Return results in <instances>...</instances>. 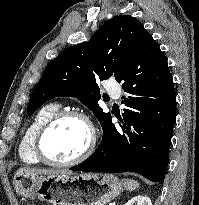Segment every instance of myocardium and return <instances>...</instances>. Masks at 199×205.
Listing matches in <instances>:
<instances>
[{"instance_id":"obj_1","label":"myocardium","mask_w":199,"mask_h":205,"mask_svg":"<svg viewBox=\"0 0 199 205\" xmlns=\"http://www.w3.org/2000/svg\"><path fill=\"white\" fill-rule=\"evenodd\" d=\"M66 118H77L80 119L86 127L88 128V143L84 150L76 157L67 160V161H56L50 159L44 152L43 149V140L48 131L59 121ZM96 146V131L93 123L90 118L83 112L78 110H61L55 113L52 117H50L37 131L34 138L33 150L35 156L39 159L40 162L55 166V167H69L75 164H78L85 159H87L94 151Z\"/></svg>"}]
</instances>
